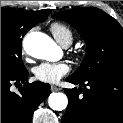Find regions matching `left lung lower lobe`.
Returning a JSON list of instances; mask_svg holds the SVG:
<instances>
[{
	"label": "left lung lower lobe",
	"instance_id": "0a47b994",
	"mask_svg": "<svg viewBox=\"0 0 123 123\" xmlns=\"http://www.w3.org/2000/svg\"><path fill=\"white\" fill-rule=\"evenodd\" d=\"M66 80L81 88L64 90L69 103L61 123H123V71Z\"/></svg>",
	"mask_w": 123,
	"mask_h": 123
}]
</instances>
